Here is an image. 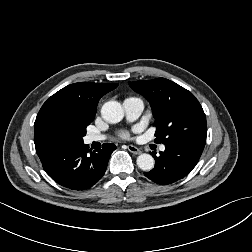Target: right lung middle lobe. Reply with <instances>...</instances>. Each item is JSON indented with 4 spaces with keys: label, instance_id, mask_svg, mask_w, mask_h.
<instances>
[{
    "label": "right lung middle lobe",
    "instance_id": "obj_1",
    "mask_svg": "<svg viewBox=\"0 0 252 252\" xmlns=\"http://www.w3.org/2000/svg\"><path fill=\"white\" fill-rule=\"evenodd\" d=\"M89 124L90 122L76 121L59 113L51 114L35 126V146L83 142Z\"/></svg>",
    "mask_w": 252,
    "mask_h": 252
}]
</instances>
